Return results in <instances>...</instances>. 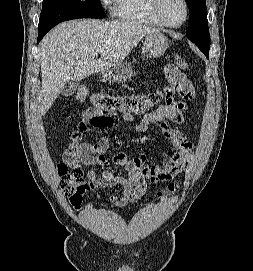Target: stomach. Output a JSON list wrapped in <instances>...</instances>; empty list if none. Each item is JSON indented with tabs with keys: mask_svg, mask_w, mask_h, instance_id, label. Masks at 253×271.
I'll return each instance as SVG.
<instances>
[{
	"mask_svg": "<svg viewBox=\"0 0 253 271\" xmlns=\"http://www.w3.org/2000/svg\"><path fill=\"white\" fill-rule=\"evenodd\" d=\"M168 47V40L160 31L147 34L143 40L142 54L146 57L162 56ZM103 77L110 83H123L133 75L132 66L128 62L107 69L102 72Z\"/></svg>",
	"mask_w": 253,
	"mask_h": 271,
	"instance_id": "stomach-1",
	"label": "stomach"
}]
</instances>
